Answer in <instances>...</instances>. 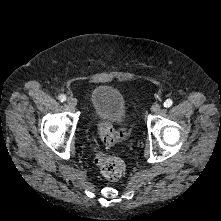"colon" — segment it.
Here are the masks:
<instances>
[{
    "instance_id": "5ec220e1",
    "label": "colon",
    "mask_w": 221,
    "mask_h": 221,
    "mask_svg": "<svg viewBox=\"0 0 221 221\" xmlns=\"http://www.w3.org/2000/svg\"><path fill=\"white\" fill-rule=\"evenodd\" d=\"M102 141L107 146H112L122 142L125 139V131L123 129H115L109 124H103L100 127ZM95 162L100 169L102 175L109 180H118L125 173V165L123 161L117 157L105 156L97 154Z\"/></svg>"
}]
</instances>
